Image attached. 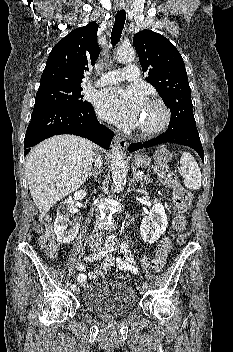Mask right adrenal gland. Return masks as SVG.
Listing matches in <instances>:
<instances>
[{
    "mask_svg": "<svg viewBox=\"0 0 233 352\" xmlns=\"http://www.w3.org/2000/svg\"><path fill=\"white\" fill-rule=\"evenodd\" d=\"M100 174V171L99 169H93L92 172L89 173L88 177H87V180L90 178V177H93L96 181H97V177L98 175Z\"/></svg>",
    "mask_w": 233,
    "mask_h": 352,
    "instance_id": "right-adrenal-gland-1",
    "label": "right adrenal gland"
}]
</instances>
